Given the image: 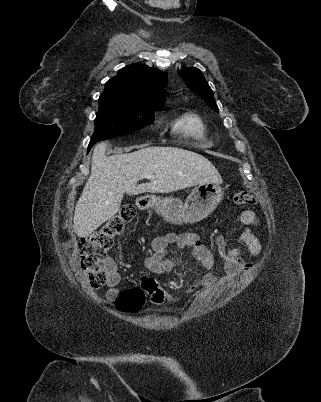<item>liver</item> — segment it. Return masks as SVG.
<instances>
[{
  "instance_id": "liver-1",
  "label": "liver",
  "mask_w": 321,
  "mask_h": 402,
  "mask_svg": "<svg viewBox=\"0 0 321 402\" xmlns=\"http://www.w3.org/2000/svg\"><path fill=\"white\" fill-rule=\"evenodd\" d=\"M107 144L96 145L91 174L74 211V232L80 238L93 233L116 215L124 193H168L195 185L217 182L221 177L204 156L177 147H145L132 153L106 156ZM142 173L154 176L137 182Z\"/></svg>"
}]
</instances>
